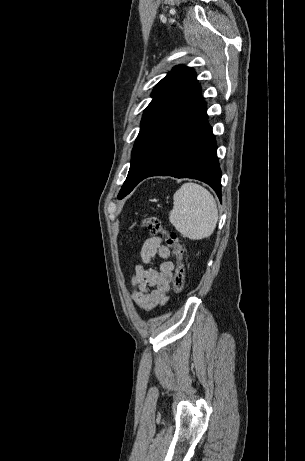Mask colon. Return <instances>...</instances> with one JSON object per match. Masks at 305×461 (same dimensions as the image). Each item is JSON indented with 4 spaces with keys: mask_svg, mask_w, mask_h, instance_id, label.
I'll return each mask as SVG.
<instances>
[{
    "mask_svg": "<svg viewBox=\"0 0 305 461\" xmlns=\"http://www.w3.org/2000/svg\"><path fill=\"white\" fill-rule=\"evenodd\" d=\"M141 227L146 228L151 235H161L167 245L174 251L176 259V269L173 280V288L176 293L182 292L185 285V269L183 264V247L175 232L165 229L161 221L156 217L144 218L139 222Z\"/></svg>",
    "mask_w": 305,
    "mask_h": 461,
    "instance_id": "5ec220e1",
    "label": "colon"
}]
</instances>
